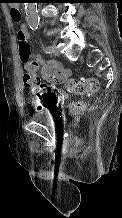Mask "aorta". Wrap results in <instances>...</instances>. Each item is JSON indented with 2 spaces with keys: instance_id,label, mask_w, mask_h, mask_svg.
Returning a JSON list of instances; mask_svg holds the SVG:
<instances>
[{
  "instance_id": "762f6f07",
  "label": "aorta",
  "mask_w": 122,
  "mask_h": 218,
  "mask_svg": "<svg viewBox=\"0 0 122 218\" xmlns=\"http://www.w3.org/2000/svg\"><path fill=\"white\" fill-rule=\"evenodd\" d=\"M26 20L31 29L38 27L37 3H26Z\"/></svg>"
}]
</instances>
